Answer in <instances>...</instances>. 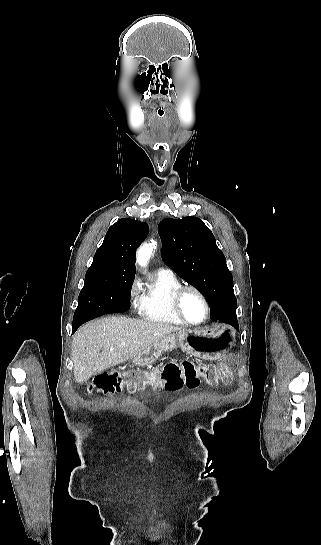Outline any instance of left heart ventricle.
I'll return each instance as SVG.
<instances>
[{
    "instance_id": "obj_1",
    "label": "left heart ventricle",
    "mask_w": 321,
    "mask_h": 545,
    "mask_svg": "<svg viewBox=\"0 0 321 545\" xmlns=\"http://www.w3.org/2000/svg\"><path fill=\"white\" fill-rule=\"evenodd\" d=\"M180 310L184 318L196 323L203 319L205 308L200 297L194 291H186L180 300Z\"/></svg>"
}]
</instances>
